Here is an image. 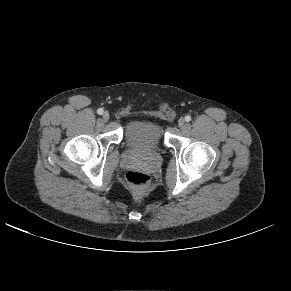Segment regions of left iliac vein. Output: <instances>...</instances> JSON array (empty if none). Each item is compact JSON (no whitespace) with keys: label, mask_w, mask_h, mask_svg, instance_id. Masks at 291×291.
I'll use <instances>...</instances> for the list:
<instances>
[{"label":"left iliac vein","mask_w":291,"mask_h":291,"mask_svg":"<svg viewBox=\"0 0 291 291\" xmlns=\"http://www.w3.org/2000/svg\"><path fill=\"white\" fill-rule=\"evenodd\" d=\"M184 125H185V120H184V118H180L179 121H178V126H179L180 128H183Z\"/></svg>","instance_id":"4c4485c4"}]
</instances>
